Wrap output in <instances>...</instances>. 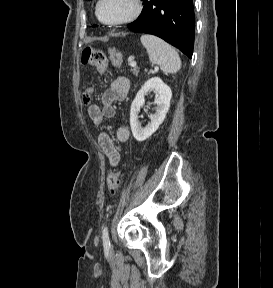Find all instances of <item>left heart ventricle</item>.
<instances>
[{
    "mask_svg": "<svg viewBox=\"0 0 273 288\" xmlns=\"http://www.w3.org/2000/svg\"><path fill=\"white\" fill-rule=\"evenodd\" d=\"M132 10V0H104L100 7V16L105 21H114L125 17Z\"/></svg>",
    "mask_w": 273,
    "mask_h": 288,
    "instance_id": "left-heart-ventricle-1",
    "label": "left heart ventricle"
}]
</instances>
